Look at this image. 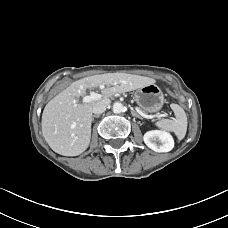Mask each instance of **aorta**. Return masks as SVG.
I'll return each instance as SVG.
<instances>
[{
    "label": "aorta",
    "instance_id": "obj_1",
    "mask_svg": "<svg viewBox=\"0 0 228 228\" xmlns=\"http://www.w3.org/2000/svg\"><path fill=\"white\" fill-rule=\"evenodd\" d=\"M123 111V105L120 102H115L113 105V112L118 114Z\"/></svg>",
    "mask_w": 228,
    "mask_h": 228
}]
</instances>
